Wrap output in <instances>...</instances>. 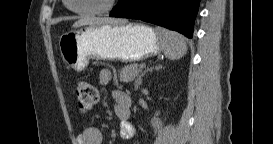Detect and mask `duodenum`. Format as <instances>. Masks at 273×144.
Listing matches in <instances>:
<instances>
[{
	"label": "duodenum",
	"instance_id": "1",
	"mask_svg": "<svg viewBox=\"0 0 273 144\" xmlns=\"http://www.w3.org/2000/svg\"><path fill=\"white\" fill-rule=\"evenodd\" d=\"M128 106H131V102H130V100L129 101H127V103H126Z\"/></svg>",
	"mask_w": 273,
	"mask_h": 144
}]
</instances>
